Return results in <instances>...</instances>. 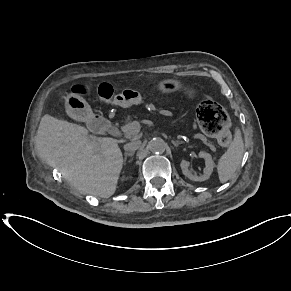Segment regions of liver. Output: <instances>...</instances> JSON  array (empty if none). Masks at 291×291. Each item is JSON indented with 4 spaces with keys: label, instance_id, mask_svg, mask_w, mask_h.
<instances>
[{
    "label": "liver",
    "instance_id": "liver-1",
    "mask_svg": "<svg viewBox=\"0 0 291 291\" xmlns=\"http://www.w3.org/2000/svg\"><path fill=\"white\" fill-rule=\"evenodd\" d=\"M119 142L93 137L80 125L45 115L37 131L36 150L81 194L109 198L123 166Z\"/></svg>",
    "mask_w": 291,
    "mask_h": 291
}]
</instances>
